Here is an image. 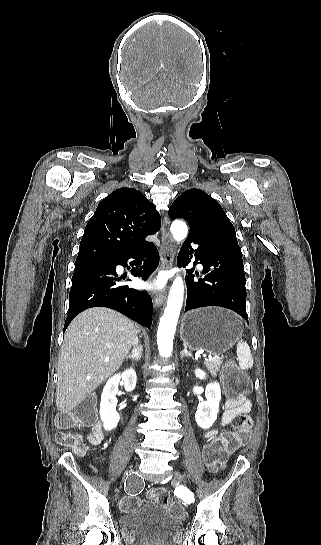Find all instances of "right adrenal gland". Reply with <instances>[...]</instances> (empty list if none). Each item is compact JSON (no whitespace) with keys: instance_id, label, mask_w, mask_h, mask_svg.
Masks as SVG:
<instances>
[{"instance_id":"right-adrenal-gland-1","label":"right adrenal gland","mask_w":321,"mask_h":545,"mask_svg":"<svg viewBox=\"0 0 321 545\" xmlns=\"http://www.w3.org/2000/svg\"><path fill=\"white\" fill-rule=\"evenodd\" d=\"M142 351H143L142 345H138V347H135V349H133L131 355H127L126 359H133V361H140L142 357Z\"/></svg>"}]
</instances>
